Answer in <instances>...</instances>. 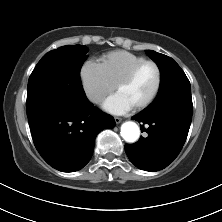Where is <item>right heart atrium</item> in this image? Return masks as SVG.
<instances>
[{
  "mask_svg": "<svg viewBox=\"0 0 222 222\" xmlns=\"http://www.w3.org/2000/svg\"><path fill=\"white\" fill-rule=\"evenodd\" d=\"M80 75L84 93L93 104H99L114 89V84L93 60L84 63Z\"/></svg>",
  "mask_w": 222,
  "mask_h": 222,
  "instance_id": "right-heart-atrium-1",
  "label": "right heart atrium"
}]
</instances>
